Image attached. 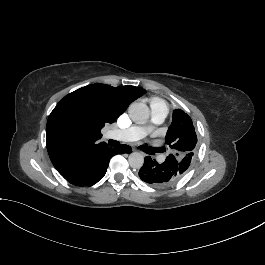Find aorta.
Here are the masks:
<instances>
[{
    "mask_svg": "<svg viewBox=\"0 0 265 265\" xmlns=\"http://www.w3.org/2000/svg\"><path fill=\"white\" fill-rule=\"evenodd\" d=\"M129 115L134 122L143 124L149 119L150 110L146 104L135 102L129 106ZM128 161L132 168L140 169L144 164V157L139 152H133Z\"/></svg>",
    "mask_w": 265,
    "mask_h": 265,
    "instance_id": "1",
    "label": "aorta"
}]
</instances>
